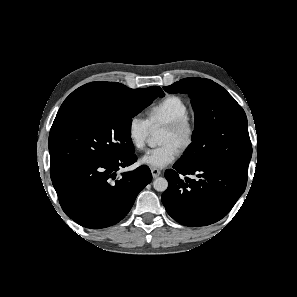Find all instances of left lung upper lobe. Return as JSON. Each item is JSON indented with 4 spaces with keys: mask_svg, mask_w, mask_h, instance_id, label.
<instances>
[{
    "mask_svg": "<svg viewBox=\"0 0 297 297\" xmlns=\"http://www.w3.org/2000/svg\"><path fill=\"white\" fill-rule=\"evenodd\" d=\"M163 88L189 94L195 114L192 143L177 162L220 165L247 175L252 147L246 114L236 100L212 80L197 77Z\"/></svg>",
    "mask_w": 297,
    "mask_h": 297,
    "instance_id": "1",
    "label": "left lung upper lobe"
}]
</instances>
